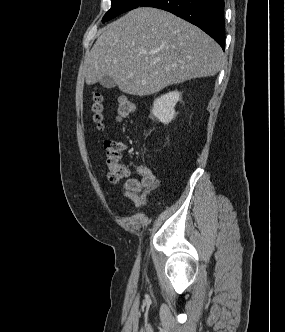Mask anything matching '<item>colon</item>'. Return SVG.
<instances>
[{
	"label": "colon",
	"mask_w": 285,
	"mask_h": 332,
	"mask_svg": "<svg viewBox=\"0 0 285 332\" xmlns=\"http://www.w3.org/2000/svg\"><path fill=\"white\" fill-rule=\"evenodd\" d=\"M136 102L127 95H121L117 99V117L119 119L127 118L134 112ZM103 106L102 96L95 93L90 105L91 117L98 129H103ZM124 143L118 139H109L105 141L106 167L108 178L113 183H118L130 175L129 167L122 161V151Z\"/></svg>",
	"instance_id": "colon-1"
}]
</instances>
